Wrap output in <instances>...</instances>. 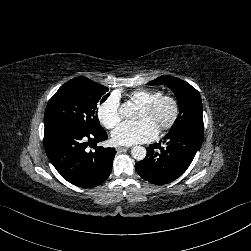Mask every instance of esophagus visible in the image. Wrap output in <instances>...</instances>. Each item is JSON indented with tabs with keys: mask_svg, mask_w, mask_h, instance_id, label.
Wrapping results in <instances>:
<instances>
[{
	"mask_svg": "<svg viewBox=\"0 0 251 251\" xmlns=\"http://www.w3.org/2000/svg\"><path fill=\"white\" fill-rule=\"evenodd\" d=\"M124 149H125V148L122 147V146H117V147H116V151H117V152H122Z\"/></svg>",
	"mask_w": 251,
	"mask_h": 251,
	"instance_id": "34e87169",
	"label": "esophagus"
}]
</instances>
